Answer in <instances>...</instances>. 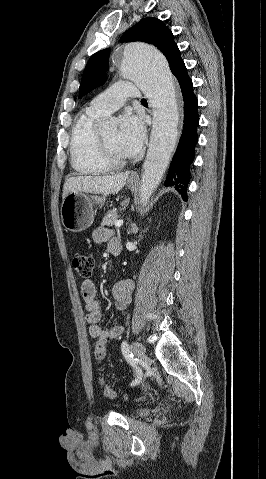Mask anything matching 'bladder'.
<instances>
[{
    "label": "bladder",
    "mask_w": 266,
    "mask_h": 479,
    "mask_svg": "<svg viewBox=\"0 0 266 479\" xmlns=\"http://www.w3.org/2000/svg\"><path fill=\"white\" fill-rule=\"evenodd\" d=\"M149 413H150V408L149 407H142V408H139L136 411V414L138 416H145V415H148Z\"/></svg>",
    "instance_id": "obj_1"
}]
</instances>
